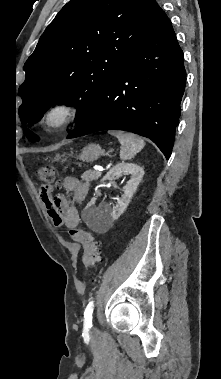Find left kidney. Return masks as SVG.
<instances>
[{"label": "left kidney", "instance_id": "obj_1", "mask_svg": "<svg viewBox=\"0 0 221 379\" xmlns=\"http://www.w3.org/2000/svg\"><path fill=\"white\" fill-rule=\"evenodd\" d=\"M122 173L130 174L131 177L129 182L123 187L124 194L121 198L117 199V203L113 208L107 205L95 207L94 200H91L83 210L82 217L91 229H107L123 214L143 178L144 170L137 164L118 163L103 177L102 181H113Z\"/></svg>", "mask_w": 221, "mask_h": 379}]
</instances>
